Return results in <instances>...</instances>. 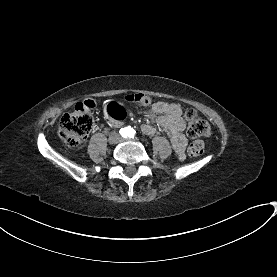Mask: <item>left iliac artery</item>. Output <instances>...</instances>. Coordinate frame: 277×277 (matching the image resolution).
<instances>
[{
  "mask_svg": "<svg viewBox=\"0 0 277 277\" xmlns=\"http://www.w3.org/2000/svg\"><path fill=\"white\" fill-rule=\"evenodd\" d=\"M128 135H129V137H134V135H135V130L129 129Z\"/></svg>",
  "mask_w": 277,
  "mask_h": 277,
  "instance_id": "left-iliac-artery-1",
  "label": "left iliac artery"
}]
</instances>
